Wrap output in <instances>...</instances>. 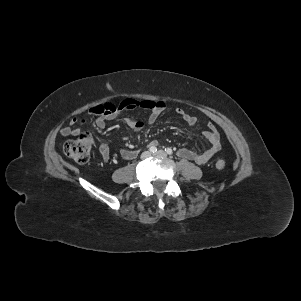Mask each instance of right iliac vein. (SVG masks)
Listing matches in <instances>:
<instances>
[{
    "instance_id": "obj_1",
    "label": "right iliac vein",
    "mask_w": 301,
    "mask_h": 301,
    "mask_svg": "<svg viewBox=\"0 0 301 301\" xmlns=\"http://www.w3.org/2000/svg\"><path fill=\"white\" fill-rule=\"evenodd\" d=\"M150 155H151V154H150L149 151H145V152H143V153L141 154V158H142V159H146V158H148Z\"/></svg>"
}]
</instances>
